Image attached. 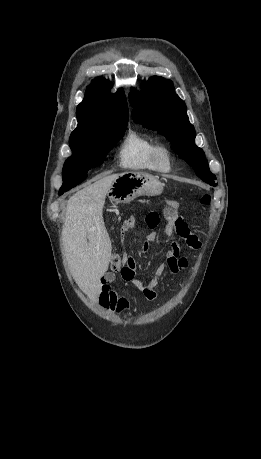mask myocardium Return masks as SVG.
<instances>
[{
  "mask_svg": "<svg viewBox=\"0 0 261 459\" xmlns=\"http://www.w3.org/2000/svg\"><path fill=\"white\" fill-rule=\"evenodd\" d=\"M153 161L155 168L161 173H170L174 166V156L171 149L164 144H158L154 150ZM166 161V165H163Z\"/></svg>",
  "mask_w": 261,
  "mask_h": 459,
  "instance_id": "1",
  "label": "myocardium"
}]
</instances>
